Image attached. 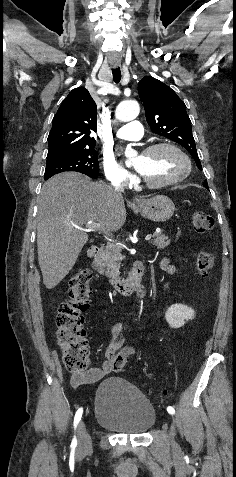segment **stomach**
Returning a JSON list of instances; mask_svg holds the SVG:
<instances>
[{
  "label": "stomach",
  "mask_w": 236,
  "mask_h": 477,
  "mask_svg": "<svg viewBox=\"0 0 236 477\" xmlns=\"http://www.w3.org/2000/svg\"><path fill=\"white\" fill-rule=\"evenodd\" d=\"M138 208L142 216L154 222L169 220L175 210L173 201L164 195L143 199L138 203Z\"/></svg>",
  "instance_id": "obj_1"
}]
</instances>
